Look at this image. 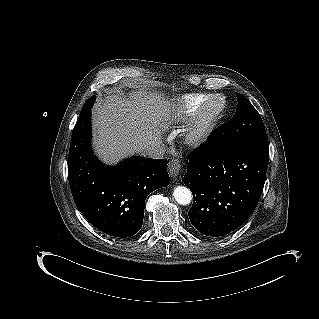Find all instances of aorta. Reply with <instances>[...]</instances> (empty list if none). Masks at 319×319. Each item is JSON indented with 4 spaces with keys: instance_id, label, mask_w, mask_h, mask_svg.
<instances>
[{
    "instance_id": "762f6f07",
    "label": "aorta",
    "mask_w": 319,
    "mask_h": 319,
    "mask_svg": "<svg viewBox=\"0 0 319 319\" xmlns=\"http://www.w3.org/2000/svg\"><path fill=\"white\" fill-rule=\"evenodd\" d=\"M173 196L178 204L180 205H188L192 200L191 191L184 186H177L174 188Z\"/></svg>"
}]
</instances>
